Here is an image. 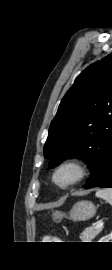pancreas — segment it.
Wrapping results in <instances>:
<instances>
[{
    "label": "pancreas",
    "instance_id": "pancreas-1",
    "mask_svg": "<svg viewBox=\"0 0 112 270\" xmlns=\"http://www.w3.org/2000/svg\"><path fill=\"white\" fill-rule=\"evenodd\" d=\"M103 227L95 228L89 227L86 228L80 235L82 242H92V240L102 231Z\"/></svg>",
    "mask_w": 112,
    "mask_h": 270
}]
</instances>
